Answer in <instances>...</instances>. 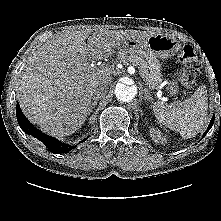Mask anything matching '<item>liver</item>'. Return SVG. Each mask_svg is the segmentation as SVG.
I'll use <instances>...</instances> for the list:
<instances>
[{"label": "liver", "mask_w": 221, "mask_h": 221, "mask_svg": "<svg viewBox=\"0 0 221 221\" xmlns=\"http://www.w3.org/2000/svg\"><path fill=\"white\" fill-rule=\"evenodd\" d=\"M150 35L109 30L89 36L76 30L53 36L29 57L19 75L17 97L24 115L50 135L73 134L89 115L94 89H108L114 73L111 66L94 67L89 61L108 58L126 41Z\"/></svg>", "instance_id": "liver-1"}]
</instances>
